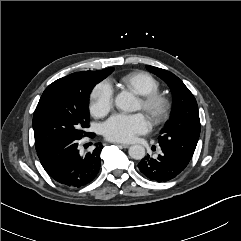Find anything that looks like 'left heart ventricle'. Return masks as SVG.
Returning a JSON list of instances; mask_svg holds the SVG:
<instances>
[{
    "instance_id": "left-heart-ventricle-1",
    "label": "left heart ventricle",
    "mask_w": 241,
    "mask_h": 241,
    "mask_svg": "<svg viewBox=\"0 0 241 241\" xmlns=\"http://www.w3.org/2000/svg\"><path fill=\"white\" fill-rule=\"evenodd\" d=\"M142 105H141V102L139 101L138 102V109H141Z\"/></svg>"
}]
</instances>
